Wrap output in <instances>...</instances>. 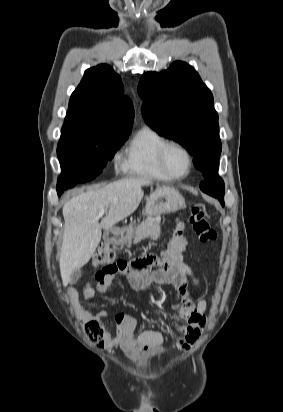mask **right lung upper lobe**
Segmentation results:
<instances>
[{"mask_svg": "<svg viewBox=\"0 0 283 412\" xmlns=\"http://www.w3.org/2000/svg\"><path fill=\"white\" fill-rule=\"evenodd\" d=\"M121 78L105 64L85 71L72 93L65 121L93 134L131 132L134 109Z\"/></svg>", "mask_w": 283, "mask_h": 412, "instance_id": "1", "label": "right lung upper lobe"}]
</instances>
